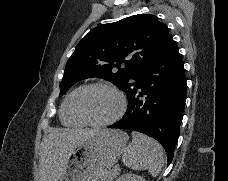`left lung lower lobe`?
Segmentation results:
<instances>
[{"label": "left lung lower lobe", "instance_id": "0a47b994", "mask_svg": "<svg viewBox=\"0 0 228 181\" xmlns=\"http://www.w3.org/2000/svg\"><path fill=\"white\" fill-rule=\"evenodd\" d=\"M186 87L183 62L171 38L137 75L123 118L108 127L135 130L156 139L169 165L183 118Z\"/></svg>", "mask_w": 228, "mask_h": 181}]
</instances>
